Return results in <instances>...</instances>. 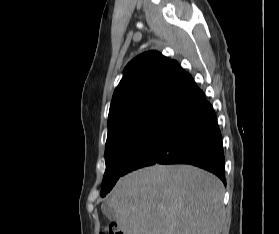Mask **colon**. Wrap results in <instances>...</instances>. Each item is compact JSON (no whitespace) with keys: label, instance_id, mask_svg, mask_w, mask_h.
Segmentation results:
<instances>
[{"label":"colon","instance_id":"1","mask_svg":"<svg viewBox=\"0 0 279 234\" xmlns=\"http://www.w3.org/2000/svg\"><path fill=\"white\" fill-rule=\"evenodd\" d=\"M105 234H124L118 224L112 222L108 225Z\"/></svg>","mask_w":279,"mask_h":234}]
</instances>
